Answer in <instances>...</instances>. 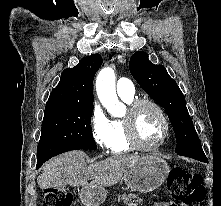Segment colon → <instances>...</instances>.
Listing matches in <instances>:
<instances>
[{
  "instance_id": "1",
  "label": "colon",
  "mask_w": 221,
  "mask_h": 206,
  "mask_svg": "<svg viewBox=\"0 0 221 206\" xmlns=\"http://www.w3.org/2000/svg\"><path fill=\"white\" fill-rule=\"evenodd\" d=\"M168 194L186 205H202L205 188L201 176L181 167H174L168 175ZM73 194L65 189L46 190L43 206H72Z\"/></svg>"
}]
</instances>
